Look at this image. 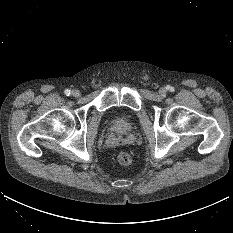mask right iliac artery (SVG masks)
<instances>
[{"mask_svg":"<svg viewBox=\"0 0 233 233\" xmlns=\"http://www.w3.org/2000/svg\"><path fill=\"white\" fill-rule=\"evenodd\" d=\"M64 93H65L67 96H69V95L71 94V91H70L69 89H66V90L64 91Z\"/></svg>","mask_w":233,"mask_h":233,"instance_id":"1","label":"right iliac artery"}]
</instances>
